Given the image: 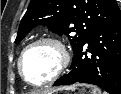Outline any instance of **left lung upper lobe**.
I'll return each mask as SVG.
<instances>
[{
	"mask_svg": "<svg viewBox=\"0 0 121 94\" xmlns=\"http://www.w3.org/2000/svg\"><path fill=\"white\" fill-rule=\"evenodd\" d=\"M120 14L116 0H31L23 16L15 43H19L36 25H46L51 31L66 34L73 51L105 22ZM70 33H76L70 36Z\"/></svg>",
	"mask_w": 121,
	"mask_h": 94,
	"instance_id": "1",
	"label": "left lung upper lobe"
}]
</instances>
